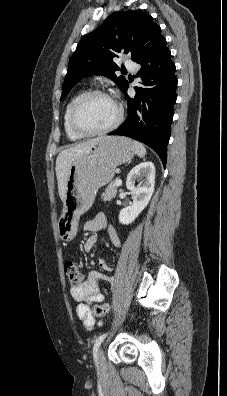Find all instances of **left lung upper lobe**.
Returning a JSON list of instances; mask_svg holds the SVG:
<instances>
[{
    "instance_id": "5c2ea615",
    "label": "left lung upper lobe",
    "mask_w": 227,
    "mask_h": 396,
    "mask_svg": "<svg viewBox=\"0 0 227 396\" xmlns=\"http://www.w3.org/2000/svg\"><path fill=\"white\" fill-rule=\"evenodd\" d=\"M160 37L161 28L150 15L139 10L112 13L79 42L69 61L61 100L78 81L90 75L107 76L123 90L127 80L114 74L119 70L113 62L117 53H130L134 61Z\"/></svg>"
}]
</instances>
